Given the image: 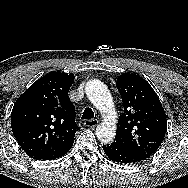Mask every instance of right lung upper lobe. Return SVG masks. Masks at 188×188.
Segmentation results:
<instances>
[{"mask_svg": "<svg viewBox=\"0 0 188 188\" xmlns=\"http://www.w3.org/2000/svg\"><path fill=\"white\" fill-rule=\"evenodd\" d=\"M73 74L51 72L33 83L15 102L11 127L24 152L32 157L64 148L79 127L68 98Z\"/></svg>", "mask_w": 188, "mask_h": 188, "instance_id": "1", "label": "right lung upper lobe"}]
</instances>
